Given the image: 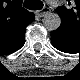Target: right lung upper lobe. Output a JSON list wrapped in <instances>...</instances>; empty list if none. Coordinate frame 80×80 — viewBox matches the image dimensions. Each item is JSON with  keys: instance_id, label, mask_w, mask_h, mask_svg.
Listing matches in <instances>:
<instances>
[{"instance_id": "cb5924a9", "label": "right lung upper lobe", "mask_w": 80, "mask_h": 80, "mask_svg": "<svg viewBox=\"0 0 80 80\" xmlns=\"http://www.w3.org/2000/svg\"><path fill=\"white\" fill-rule=\"evenodd\" d=\"M26 24H27V23H25V25H26ZM25 25H24V26H25ZM22 26H23V24L20 25V27H22Z\"/></svg>"}]
</instances>
